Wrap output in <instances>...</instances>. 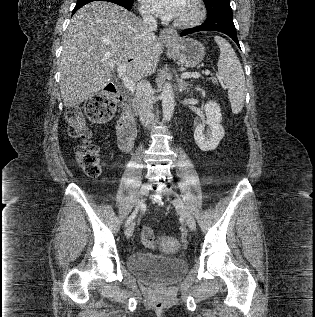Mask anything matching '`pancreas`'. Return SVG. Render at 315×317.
I'll use <instances>...</instances> for the list:
<instances>
[{
  "instance_id": "pancreas-1",
  "label": "pancreas",
  "mask_w": 315,
  "mask_h": 317,
  "mask_svg": "<svg viewBox=\"0 0 315 317\" xmlns=\"http://www.w3.org/2000/svg\"><path fill=\"white\" fill-rule=\"evenodd\" d=\"M210 79L213 81V83L217 84L216 78L212 77V78H210Z\"/></svg>"
}]
</instances>
